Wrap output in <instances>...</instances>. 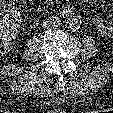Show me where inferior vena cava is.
<instances>
[{
	"mask_svg": "<svg viewBox=\"0 0 113 113\" xmlns=\"http://www.w3.org/2000/svg\"><path fill=\"white\" fill-rule=\"evenodd\" d=\"M61 25V20L57 16H48L43 21V27L45 29L58 28Z\"/></svg>",
	"mask_w": 113,
	"mask_h": 113,
	"instance_id": "602c4592",
	"label": "inferior vena cava"
}]
</instances>
